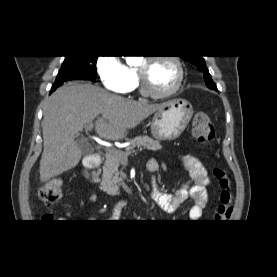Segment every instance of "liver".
Here are the masks:
<instances>
[{"mask_svg": "<svg viewBox=\"0 0 277 277\" xmlns=\"http://www.w3.org/2000/svg\"><path fill=\"white\" fill-rule=\"evenodd\" d=\"M161 106L112 95L91 84L68 83L58 88L44 108L40 181L48 182L79 163L82 152L75 135L95 118L97 134L116 141Z\"/></svg>", "mask_w": 277, "mask_h": 277, "instance_id": "obj_1", "label": "liver"}]
</instances>
